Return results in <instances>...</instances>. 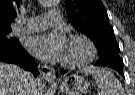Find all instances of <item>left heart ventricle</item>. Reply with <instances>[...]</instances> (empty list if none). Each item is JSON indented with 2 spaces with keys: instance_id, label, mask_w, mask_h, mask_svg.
I'll return each instance as SVG.
<instances>
[{
  "instance_id": "obj_1",
  "label": "left heart ventricle",
  "mask_w": 135,
  "mask_h": 95,
  "mask_svg": "<svg viewBox=\"0 0 135 95\" xmlns=\"http://www.w3.org/2000/svg\"><path fill=\"white\" fill-rule=\"evenodd\" d=\"M87 55V48L80 40L68 41L65 54V61L75 62L83 59Z\"/></svg>"
}]
</instances>
